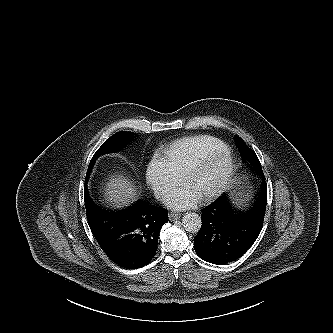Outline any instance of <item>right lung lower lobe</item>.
Here are the masks:
<instances>
[{
	"mask_svg": "<svg viewBox=\"0 0 333 333\" xmlns=\"http://www.w3.org/2000/svg\"><path fill=\"white\" fill-rule=\"evenodd\" d=\"M89 227L106 255L117 265L136 269L147 265L157 251L158 236L168 222L167 210L138 200L124 209L97 206L84 188Z\"/></svg>",
	"mask_w": 333,
	"mask_h": 333,
	"instance_id": "1",
	"label": "right lung lower lobe"
}]
</instances>
